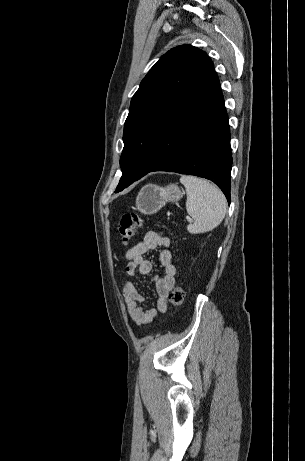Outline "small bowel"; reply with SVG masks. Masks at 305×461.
<instances>
[{"label": "small bowel", "instance_id": "small-bowel-1", "mask_svg": "<svg viewBox=\"0 0 305 461\" xmlns=\"http://www.w3.org/2000/svg\"><path fill=\"white\" fill-rule=\"evenodd\" d=\"M170 239L162 232L150 231L145 234L143 240L126 251L127 260L126 272L134 277L136 274L148 275L152 270V263L144 255L150 250L160 248L159 260L164 269L162 277L155 278V285L158 292L157 305L155 307L143 308V296L132 281L125 282L122 295L127 304V313L130 319L137 325L150 323L158 313L166 311L168 295L176 282V267L172 261V254L169 250Z\"/></svg>", "mask_w": 305, "mask_h": 461}]
</instances>
